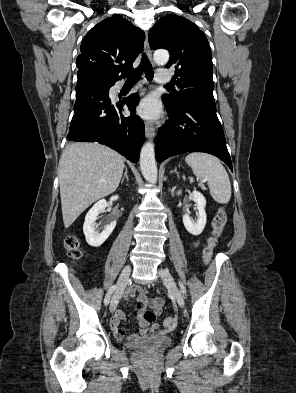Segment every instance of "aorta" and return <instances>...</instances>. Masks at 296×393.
I'll return each mask as SVG.
<instances>
[{"mask_svg": "<svg viewBox=\"0 0 296 393\" xmlns=\"http://www.w3.org/2000/svg\"><path fill=\"white\" fill-rule=\"evenodd\" d=\"M154 60L157 63H166L169 60V53L166 50H157L154 53ZM140 168L144 178L152 184L157 182V166L155 161L154 144L149 141L141 148Z\"/></svg>", "mask_w": 296, "mask_h": 393, "instance_id": "obj_1", "label": "aorta"}]
</instances>
